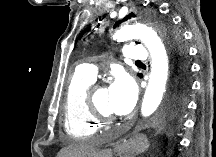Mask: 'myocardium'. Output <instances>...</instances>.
<instances>
[{"label":"myocardium","mask_w":216,"mask_h":157,"mask_svg":"<svg viewBox=\"0 0 216 157\" xmlns=\"http://www.w3.org/2000/svg\"><path fill=\"white\" fill-rule=\"evenodd\" d=\"M102 86H103V83H101V82L92 84L89 87V89H88L87 100H88L89 108H90V111H91L93 117L95 119H97L98 122H101V123H110L115 118L112 115H110V114L102 112L98 108V106H97V104L95 102V94H96L97 90L99 88H101Z\"/></svg>","instance_id":"myocardium-1"}]
</instances>
